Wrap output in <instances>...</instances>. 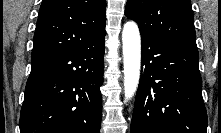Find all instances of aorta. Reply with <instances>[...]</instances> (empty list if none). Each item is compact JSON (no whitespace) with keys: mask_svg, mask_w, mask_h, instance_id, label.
<instances>
[{"mask_svg":"<svg viewBox=\"0 0 221 133\" xmlns=\"http://www.w3.org/2000/svg\"><path fill=\"white\" fill-rule=\"evenodd\" d=\"M124 94L125 101L131 99L138 88L141 67V39L135 22H127L122 32Z\"/></svg>","mask_w":221,"mask_h":133,"instance_id":"1","label":"aorta"}]
</instances>
